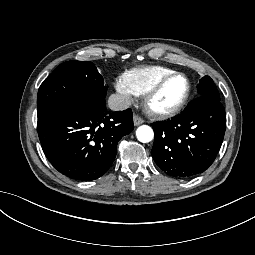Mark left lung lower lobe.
Returning <instances> with one entry per match:
<instances>
[{"mask_svg": "<svg viewBox=\"0 0 255 255\" xmlns=\"http://www.w3.org/2000/svg\"><path fill=\"white\" fill-rule=\"evenodd\" d=\"M152 127L155 163L170 176L188 179L213 163L223 141L226 114L220 101L200 96L182 114Z\"/></svg>", "mask_w": 255, "mask_h": 255, "instance_id": "1", "label": "left lung lower lobe"}]
</instances>
